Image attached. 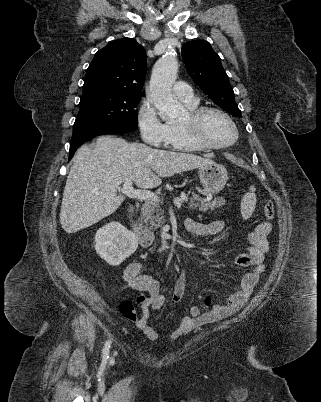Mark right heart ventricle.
<instances>
[{"label": "right heart ventricle", "mask_w": 321, "mask_h": 402, "mask_svg": "<svg viewBox=\"0 0 321 402\" xmlns=\"http://www.w3.org/2000/svg\"><path fill=\"white\" fill-rule=\"evenodd\" d=\"M188 110H193L199 107V101L184 103ZM168 141L167 146L180 151H198L202 148L191 141L187 134L182 129L180 122L168 123Z\"/></svg>", "instance_id": "obj_1"}]
</instances>
